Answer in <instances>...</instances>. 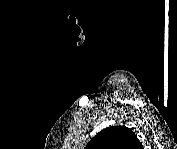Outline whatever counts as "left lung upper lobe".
<instances>
[{
	"label": "left lung upper lobe",
	"mask_w": 177,
	"mask_h": 149,
	"mask_svg": "<svg viewBox=\"0 0 177 149\" xmlns=\"http://www.w3.org/2000/svg\"><path fill=\"white\" fill-rule=\"evenodd\" d=\"M142 144L132 132L125 126H112L103 129L93 137L87 149H140Z\"/></svg>",
	"instance_id": "5c2ea615"
}]
</instances>
